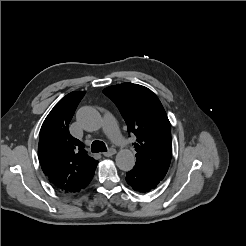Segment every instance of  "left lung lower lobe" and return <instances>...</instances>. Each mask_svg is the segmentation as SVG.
<instances>
[{"instance_id": "obj_1", "label": "left lung lower lobe", "mask_w": 246, "mask_h": 246, "mask_svg": "<svg viewBox=\"0 0 246 246\" xmlns=\"http://www.w3.org/2000/svg\"><path fill=\"white\" fill-rule=\"evenodd\" d=\"M126 181L135 191L147 193L156 188L161 179L141 167L134 166L127 172Z\"/></svg>"}]
</instances>
